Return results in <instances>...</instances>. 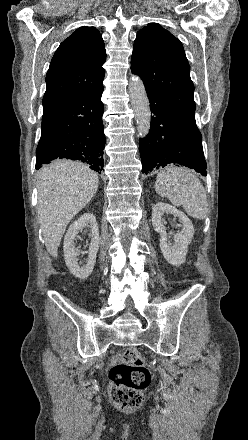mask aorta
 <instances>
[{
  "mask_svg": "<svg viewBox=\"0 0 248 440\" xmlns=\"http://www.w3.org/2000/svg\"><path fill=\"white\" fill-rule=\"evenodd\" d=\"M129 95L135 114L139 137H146L150 131V104L142 80L133 75L129 82Z\"/></svg>",
  "mask_w": 248,
  "mask_h": 440,
  "instance_id": "aorta-1",
  "label": "aorta"
}]
</instances>
